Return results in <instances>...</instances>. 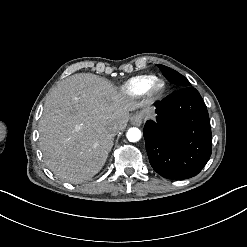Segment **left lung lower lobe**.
I'll return each instance as SVG.
<instances>
[{
	"label": "left lung lower lobe",
	"mask_w": 247,
	"mask_h": 247,
	"mask_svg": "<svg viewBox=\"0 0 247 247\" xmlns=\"http://www.w3.org/2000/svg\"><path fill=\"white\" fill-rule=\"evenodd\" d=\"M156 121L144 126L146 151L153 169L168 179L197 175L211 155L206 105L193 87H181L155 104Z\"/></svg>",
	"instance_id": "left-lung-lower-lobe-1"
}]
</instances>
